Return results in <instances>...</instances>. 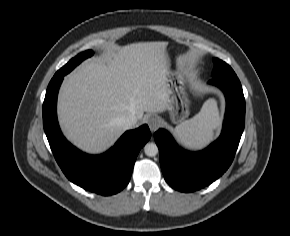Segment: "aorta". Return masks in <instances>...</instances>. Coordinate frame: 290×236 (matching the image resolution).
Returning <instances> with one entry per match:
<instances>
[{"label":"aorta","mask_w":290,"mask_h":236,"mask_svg":"<svg viewBox=\"0 0 290 236\" xmlns=\"http://www.w3.org/2000/svg\"><path fill=\"white\" fill-rule=\"evenodd\" d=\"M144 152L147 156L149 157H153L156 156L158 154V147L155 143L151 142V143H147L144 146Z\"/></svg>","instance_id":"1"}]
</instances>
